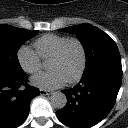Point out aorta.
I'll use <instances>...</instances> for the list:
<instances>
[{"mask_svg":"<svg viewBox=\"0 0 128 128\" xmlns=\"http://www.w3.org/2000/svg\"><path fill=\"white\" fill-rule=\"evenodd\" d=\"M50 101L54 108L62 109L66 106L67 98L61 91H56L52 93Z\"/></svg>","mask_w":128,"mask_h":128,"instance_id":"obj_1","label":"aorta"}]
</instances>
